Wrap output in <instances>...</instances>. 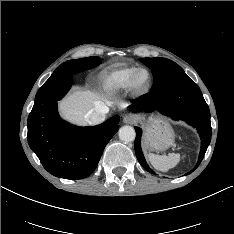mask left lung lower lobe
<instances>
[{
	"label": "left lung lower lobe",
	"instance_id": "left-lung-lower-lobe-1",
	"mask_svg": "<svg viewBox=\"0 0 234 234\" xmlns=\"http://www.w3.org/2000/svg\"><path fill=\"white\" fill-rule=\"evenodd\" d=\"M134 111L158 110L175 120L182 119L197 128L202 139V147L197 165L187 174L192 173L202 161L211 141L210 112L202 92L189 77L173 81L159 89L151 90L132 101L130 106ZM135 153L138 161L148 172H154L147 165L141 150L142 130L135 127Z\"/></svg>",
	"mask_w": 234,
	"mask_h": 234
}]
</instances>
